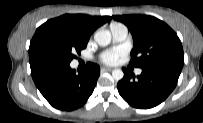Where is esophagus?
<instances>
[{"label":"esophagus","mask_w":203,"mask_h":123,"mask_svg":"<svg viewBox=\"0 0 203 123\" xmlns=\"http://www.w3.org/2000/svg\"><path fill=\"white\" fill-rule=\"evenodd\" d=\"M101 70L102 71H112L113 68H111V67H102Z\"/></svg>","instance_id":"obj_1"}]
</instances>
